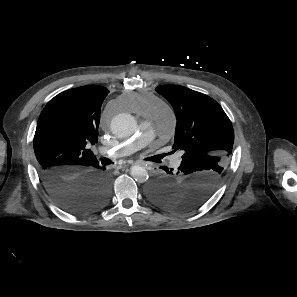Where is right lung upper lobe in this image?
Masks as SVG:
<instances>
[{
	"label": "right lung upper lobe",
	"mask_w": 297,
	"mask_h": 297,
	"mask_svg": "<svg viewBox=\"0 0 297 297\" xmlns=\"http://www.w3.org/2000/svg\"><path fill=\"white\" fill-rule=\"evenodd\" d=\"M108 93L102 86H83L64 91L48 102L34 136L40 170L73 174L99 165L85 146L98 140L100 108Z\"/></svg>",
	"instance_id": "right-lung-upper-lobe-1"
}]
</instances>
